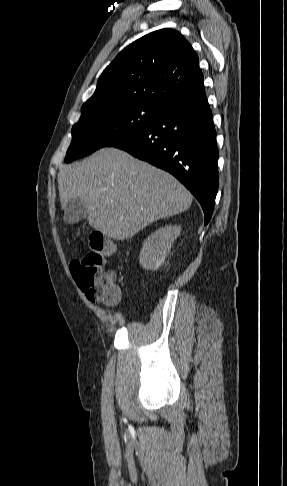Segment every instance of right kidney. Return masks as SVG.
I'll use <instances>...</instances> for the list:
<instances>
[{
	"label": "right kidney",
	"mask_w": 287,
	"mask_h": 486,
	"mask_svg": "<svg viewBox=\"0 0 287 486\" xmlns=\"http://www.w3.org/2000/svg\"><path fill=\"white\" fill-rule=\"evenodd\" d=\"M181 227L167 225L152 233L143 243L139 263L145 270H156L170 253L174 240L180 235Z\"/></svg>",
	"instance_id": "obj_1"
}]
</instances>
